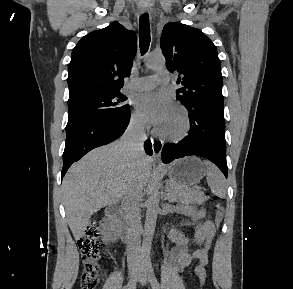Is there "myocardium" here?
<instances>
[{
  "mask_svg": "<svg viewBox=\"0 0 293 289\" xmlns=\"http://www.w3.org/2000/svg\"><path fill=\"white\" fill-rule=\"evenodd\" d=\"M174 110L177 111L182 118V127L176 133H165L159 127L154 130L156 137L163 141L178 143L183 141L190 133L191 130V119L188 110L182 105H176Z\"/></svg>",
  "mask_w": 293,
  "mask_h": 289,
  "instance_id": "myocardium-1",
  "label": "myocardium"
}]
</instances>
